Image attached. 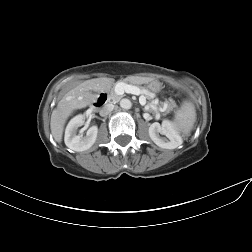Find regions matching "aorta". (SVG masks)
<instances>
[{
  "instance_id": "762f6f07",
  "label": "aorta",
  "mask_w": 252,
  "mask_h": 252,
  "mask_svg": "<svg viewBox=\"0 0 252 252\" xmlns=\"http://www.w3.org/2000/svg\"><path fill=\"white\" fill-rule=\"evenodd\" d=\"M120 107L123 108V109H130L132 107V103L129 99L127 98H124L120 101Z\"/></svg>"
}]
</instances>
